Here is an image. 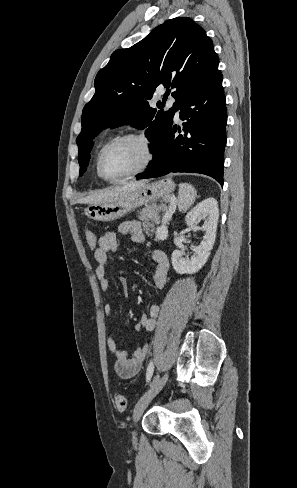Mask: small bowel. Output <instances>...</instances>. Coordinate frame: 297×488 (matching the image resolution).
<instances>
[{
    "mask_svg": "<svg viewBox=\"0 0 297 488\" xmlns=\"http://www.w3.org/2000/svg\"><path fill=\"white\" fill-rule=\"evenodd\" d=\"M118 232L121 235H128L135 243H145L147 241L146 235L143 232L142 226L137 221H125L119 224ZM118 250V241L114 232H106L98 239V246L94 251V258L97 262L96 277L99 282L100 289L107 291L110 286L109 278L106 274V269L109 260V254L116 253ZM151 258L155 263V271L153 274V283L157 289H164L167 284L169 261L165 253L161 250L154 249L150 251ZM124 297L129 296V284L126 278H119ZM161 307L158 304H153L149 307L148 314L143 315L137 324L136 329L140 332L151 333L155 330L157 325V318L160 315ZM106 316L112 314L111 305L104 307ZM108 348L114 357V369L116 374L123 379H129L136 376L143 365V362L148 353V345H143L134 352L129 353L117 347L114 338L111 336L108 340Z\"/></svg>",
    "mask_w": 297,
    "mask_h": 488,
    "instance_id": "small-bowel-1",
    "label": "small bowel"
}]
</instances>
